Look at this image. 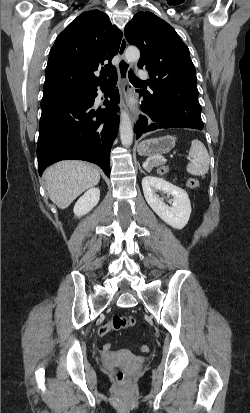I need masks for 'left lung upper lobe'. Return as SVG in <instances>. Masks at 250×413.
I'll list each match as a JSON object with an SVG mask.
<instances>
[{
    "label": "left lung upper lobe",
    "mask_w": 250,
    "mask_h": 413,
    "mask_svg": "<svg viewBox=\"0 0 250 413\" xmlns=\"http://www.w3.org/2000/svg\"><path fill=\"white\" fill-rule=\"evenodd\" d=\"M129 44L140 49V69L149 73L153 87L196 84L197 77L188 47L173 27L151 12H138L125 26Z\"/></svg>",
    "instance_id": "5c2ea615"
}]
</instances>
